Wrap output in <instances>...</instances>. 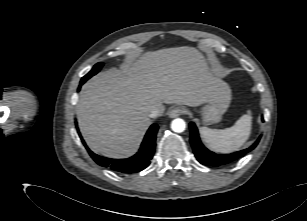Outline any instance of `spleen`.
Wrapping results in <instances>:
<instances>
[{
    "label": "spleen",
    "mask_w": 307,
    "mask_h": 221,
    "mask_svg": "<svg viewBox=\"0 0 307 221\" xmlns=\"http://www.w3.org/2000/svg\"><path fill=\"white\" fill-rule=\"evenodd\" d=\"M252 128L251 111L242 115L236 123L226 129L202 127L201 136L208 147L215 152L230 153L238 150L249 138Z\"/></svg>",
    "instance_id": "3e777b00"
}]
</instances>
